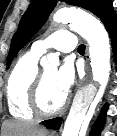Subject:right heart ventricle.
I'll return each instance as SVG.
<instances>
[{"label":"right heart ventricle","mask_w":117,"mask_h":136,"mask_svg":"<svg viewBox=\"0 0 117 136\" xmlns=\"http://www.w3.org/2000/svg\"><path fill=\"white\" fill-rule=\"evenodd\" d=\"M39 54L30 50L24 53L13 67L6 84V99L10 114L19 119H32L30 92L39 73Z\"/></svg>","instance_id":"right-heart-ventricle-1"}]
</instances>
